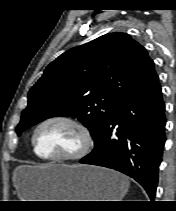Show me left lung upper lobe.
Instances as JSON below:
<instances>
[{
  "mask_svg": "<svg viewBox=\"0 0 176 211\" xmlns=\"http://www.w3.org/2000/svg\"><path fill=\"white\" fill-rule=\"evenodd\" d=\"M158 81L147 51L126 33L103 35L50 63L30 89L18 136L54 116L78 118L95 143L115 109Z\"/></svg>",
  "mask_w": 176,
  "mask_h": 211,
  "instance_id": "5c2ea615",
  "label": "left lung upper lobe"
}]
</instances>
